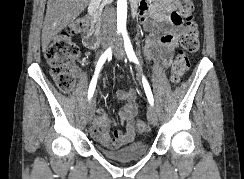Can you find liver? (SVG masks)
I'll use <instances>...</instances> for the list:
<instances>
[{
  "instance_id": "obj_1",
  "label": "liver",
  "mask_w": 244,
  "mask_h": 179,
  "mask_svg": "<svg viewBox=\"0 0 244 179\" xmlns=\"http://www.w3.org/2000/svg\"><path fill=\"white\" fill-rule=\"evenodd\" d=\"M90 0H48L42 30V52H46L51 40L73 22Z\"/></svg>"
}]
</instances>
